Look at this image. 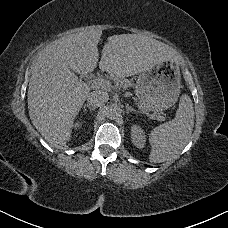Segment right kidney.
<instances>
[{
  "label": "right kidney",
  "mask_w": 228,
  "mask_h": 228,
  "mask_svg": "<svg viewBox=\"0 0 228 228\" xmlns=\"http://www.w3.org/2000/svg\"><path fill=\"white\" fill-rule=\"evenodd\" d=\"M73 127H74L75 129H77V128L81 127V123H80V122H75V123L73 124Z\"/></svg>",
  "instance_id": "right-kidney-1"
}]
</instances>
